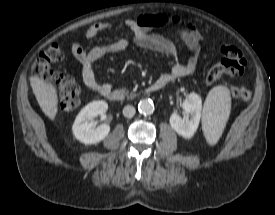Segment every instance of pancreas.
I'll list each match as a JSON object with an SVG mask.
<instances>
[{"label":"pancreas","mask_w":275,"mask_h":215,"mask_svg":"<svg viewBox=\"0 0 275 215\" xmlns=\"http://www.w3.org/2000/svg\"><path fill=\"white\" fill-rule=\"evenodd\" d=\"M124 91H125L126 95H128V94H129V92H128V91H126V90H124ZM130 96H134L132 92L130 93Z\"/></svg>","instance_id":"1"}]
</instances>
